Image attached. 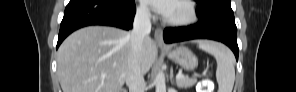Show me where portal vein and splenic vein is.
<instances>
[{"mask_svg": "<svg viewBox=\"0 0 296 92\" xmlns=\"http://www.w3.org/2000/svg\"><path fill=\"white\" fill-rule=\"evenodd\" d=\"M183 77H184V76H183L182 73H179V74L176 75V79H177V80H179V79H181V78H183Z\"/></svg>", "mask_w": 296, "mask_h": 92, "instance_id": "portal-vein-and-splenic-vein-1", "label": "portal vein and splenic vein"}]
</instances>
